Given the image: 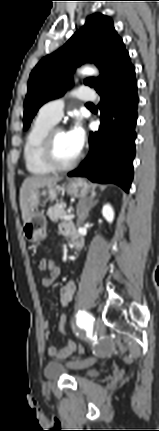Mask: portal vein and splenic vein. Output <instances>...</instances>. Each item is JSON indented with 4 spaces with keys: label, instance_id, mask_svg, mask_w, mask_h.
Wrapping results in <instances>:
<instances>
[{
    "label": "portal vein and splenic vein",
    "instance_id": "portal-vein-and-splenic-vein-1",
    "mask_svg": "<svg viewBox=\"0 0 159 431\" xmlns=\"http://www.w3.org/2000/svg\"><path fill=\"white\" fill-rule=\"evenodd\" d=\"M74 217H75L74 214H65L62 216V219L65 221H69V220H72Z\"/></svg>",
    "mask_w": 159,
    "mask_h": 431
}]
</instances>
